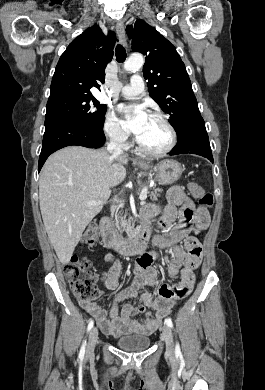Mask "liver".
<instances>
[{
  "label": "liver",
  "instance_id": "1",
  "mask_svg": "<svg viewBox=\"0 0 265 390\" xmlns=\"http://www.w3.org/2000/svg\"><path fill=\"white\" fill-rule=\"evenodd\" d=\"M125 156L68 146L45 162L39 180L42 219L59 261L67 264L86 226L102 210L111 188L126 177Z\"/></svg>",
  "mask_w": 265,
  "mask_h": 390
}]
</instances>
